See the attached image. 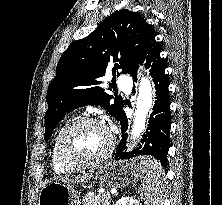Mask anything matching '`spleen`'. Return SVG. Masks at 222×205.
<instances>
[{"instance_id": "spleen-1", "label": "spleen", "mask_w": 222, "mask_h": 205, "mask_svg": "<svg viewBox=\"0 0 222 205\" xmlns=\"http://www.w3.org/2000/svg\"><path fill=\"white\" fill-rule=\"evenodd\" d=\"M140 191L147 205H161L165 186V173L161 164L151 156L140 158Z\"/></svg>"}]
</instances>
